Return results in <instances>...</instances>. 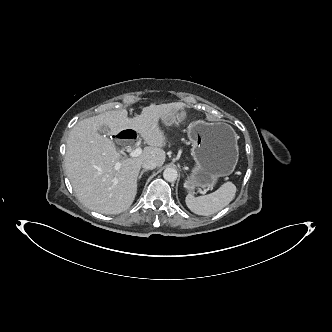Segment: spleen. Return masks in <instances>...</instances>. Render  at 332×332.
<instances>
[{
	"mask_svg": "<svg viewBox=\"0 0 332 332\" xmlns=\"http://www.w3.org/2000/svg\"><path fill=\"white\" fill-rule=\"evenodd\" d=\"M235 194L236 186L232 182H226L218 190L205 196L194 197L189 194L186 196L185 202L195 214L208 216L226 207L233 200Z\"/></svg>",
	"mask_w": 332,
	"mask_h": 332,
	"instance_id": "obj_1",
	"label": "spleen"
}]
</instances>
